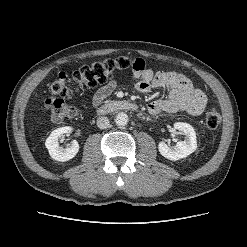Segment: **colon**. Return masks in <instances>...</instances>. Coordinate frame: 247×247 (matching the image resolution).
<instances>
[{"mask_svg": "<svg viewBox=\"0 0 247 247\" xmlns=\"http://www.w3.org/2000/svg\"><path fill=\"white\" fill-rule=\"evenodd\" d=\"M134 67V60L121 56L114 59H104L85 65L74 71L72 75L60 72L52 82L51 96L44 101V106L49 118L54 122H63L72 118L76 110L66 98L72 97L81 91L105 84L114 75ZM221 122V114L218 109L210 108L205 116V124L210 129H215Z\"/></svg>", "mask_w": 247, "mask_h": 247, "instance_id": "1", "label": "colon"}]
</instances>
